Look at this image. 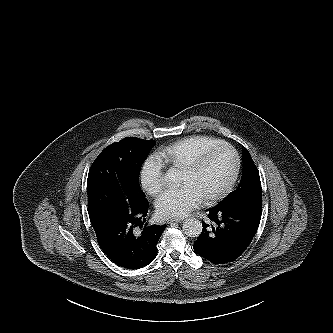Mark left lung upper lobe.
Wrapping results in <instances>:
<instances>
[{"instance_id":"left-lung-upper-lobe-1","label":"left lung upper lobe","mask_w":333,"mask_h":333,"mask_svg":"<svg viewBox=\"0 0 333 333\" xmlns=\"http://www.w3.org/2000/svg\"><path fill=\"white\" fill-rule=\"evenodd\" d=\"M253 196H262L261 181L248 150H243V171L239 186L218 205H232Z\"/></svg>"}]
</instances>
